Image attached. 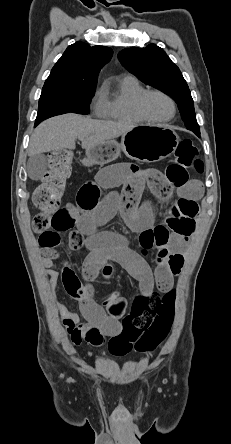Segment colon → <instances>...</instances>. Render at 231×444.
<instances>
[{
	"label": "colon",
	"instance_id": "5ec220e1",
	"mask_svg": "<svg viewBox=\"0 0 231 444\" xmlns=\"http://www.w3.org/2000/svg\"><path fill=\"white\" fill-rule=\"evenodd\" d=\"M70 154L55 152L49 156V169L41 184L33 194L34 204L41 210L33 219V229L40 233L42 247L52 246L51 234H58L74 227L75 219L67 208L60 209L62 192L69 174ZM203 162L196 147L189 140L182 141L176 151L174 161L166 168L167 180L176 188L189 184V173H201ZM198 206L191 200L180 199L173 207L167 226H158L155 233L161 237L171 231L189 237L195 229ZM62 283L66 292L79 298L83 286L74 270L65 264ZM175 293L160 295L154 291L148 297H139L131 306L130 312L122 320V330L108 343L109 352L122 357L133 349L149 353L154 351L169 334L174 315Z\"/></svg>",
	"mask_w": 231,
	"mask_h": 444
}]
</instances>
